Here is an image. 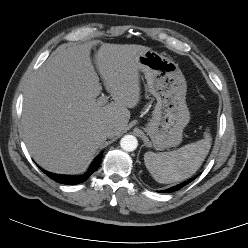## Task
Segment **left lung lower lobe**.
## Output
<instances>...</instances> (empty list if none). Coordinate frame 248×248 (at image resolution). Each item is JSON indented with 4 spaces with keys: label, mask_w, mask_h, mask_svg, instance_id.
I'll list each match as a JSON object with an SVG mask.
<instances>
[{
    "label": "left lung lower lobe",
    "mask_w": 248,
    "mask_h": 248,
    "mask_svg": "<svg viewBox=\"0 0 248 248\" xmlns=\"http://www.w3.org/2000/svg\"><path fill=\"white\" fill-rule=\"evenodd\" d=\"M194 179L195 178H191V179H189V180H187V181H185V182H183L181 184H178L176 186L170 187L169 189L165 190L164 192H168V193L175 192V191L181 189L182 187L186 186L190 182H192ZM161 192H163V191H161Z\"/></svg>",
    "instance_id": "1"
}]
</instances>
